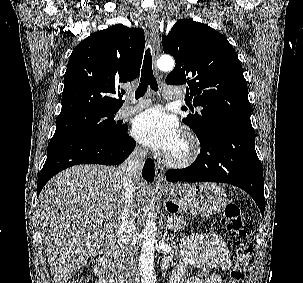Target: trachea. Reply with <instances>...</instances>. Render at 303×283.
I'll return each instance as SVG.
<instances>
[{"mask_svg": "<svg viewBox=\"0 0 303 283\" xmlns=\"http://www.w3.org/2000/svg\"><path fill=\"white\" fill-rule=\"evenodd\" d=\"M148 86H150L152 90L158 91V84L152 70V56L150 48L146 50L144 56L140 84L135 92V98L138 99L142 97L147 91Z\"/></svg>", "mask_w": 303, "mask_h": 283, "instance_id": "3493384b", "label": "trachea"}]
</instances>
